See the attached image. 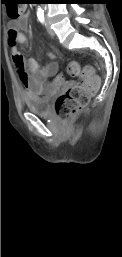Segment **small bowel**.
I'll return each instance as SVG.
<instances>
[{
	"mask_svg": "<svg viewBox=\"0 0 122 257\" xmlns=\"http://www.w3.org/2000/svg\"><path fill=\"white\" fill-rule=\"evenodd\" d=\"M28 12L24 9L23 13L9 23L7 39L10 46V57L15 64V73H18L19 82H22L28 91V97L51 94L56 90H48L50 78L57 73L58 64L53 61L54 54H50L52 61L46 65H40L35 59H29L25 52H19L17 44H27L28 39L25 32L28 31Z\"/></svg>",
	"mask_w": 122,
	"mask_h": 257,
	"instance_id": "small-bowel-1",
	"label": "small bowel"
}]
</instances>
